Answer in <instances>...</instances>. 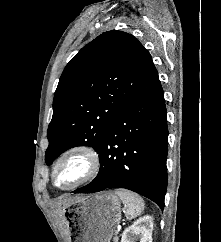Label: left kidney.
Masks as SVG:
<instances>
[{"instance_id": "left-kidney-1", "label": "left kidney", "mask_w": 221, "mask_h": 242, "mask_svg": "<svg viewBox=\"0 0 221 242\" xmlns=\"http://www.w3.org/2000/svg\"><path fill=\"white\" fill-rule=\"evenodd\" d=\"M153 219L146 215L137 219L122 234L121 242H152Z\"/></svg>"}]
</instances>
